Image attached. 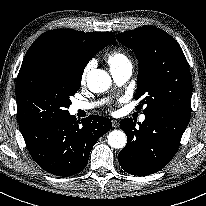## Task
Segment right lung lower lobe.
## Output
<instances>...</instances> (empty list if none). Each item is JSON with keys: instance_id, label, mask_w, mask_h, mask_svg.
<instances>
[{"instance_id": "1", "label": "right lung lower lobe", "mask_w": 206, "mask_h": 206, "mask_svg": "<svg viewBox=\"0 0 206 206\" xmlns=\"http://www.w3.org/2000/svg\"><path fill=\"white\" fill-rule=\"evenodd\" d=\"M111 128V121L102 116L90 115L80 122L67 114L21 133L35 162L45 171L65 177L85 168L92 147Z\"/></svg>"}]
</instances>
